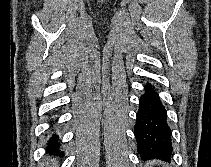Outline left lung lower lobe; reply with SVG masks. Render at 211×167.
<instances>
[{
	"mask_svg": "<svg viewBox=\"0 0 211 167\" xmlns=\"http://www.w3.org/2000/svg\"><path fill=\"white\" fill-rule=\"evenodd\" d=\"M145 88L134 126L137 151L144 158L169 160L173 148L167 112L153 86L147 83Z\"/></svg>",
	"mask_w": 211,
	"mask_h": 167,
	"instance_id": "left-lung-lower-lobe-1",
	"label": "left lung lower lobe"
}]
</instances>
